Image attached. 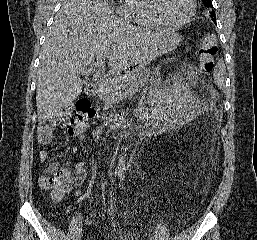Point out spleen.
<instances>
[{
  "mask_svg": "<svg viewBox=\"0 0 257 240\" xmlns=\"http://www.w3.org/2000/svg\"><path fill=\"white\" fill-rule=\"evenodd\" d=\"M214 80L219 88L225 86V65L222 60L217 63L216 70L214 71Z\"/></svg>",
  "mask_w": 257,
  "mask_h": 240,
  "instance_id": "obj_1",
  "label": "spleen"
}]
</instances>
